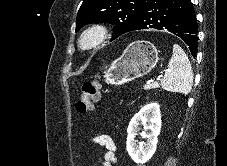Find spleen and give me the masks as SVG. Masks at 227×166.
<instances>
[{
  "instance_id": "3e777b00",
  "label": "spleen",
  "mask_w": 227,
  "mask_h": 166,
  "mask_svg": "<svg viewBox=\"0 0 227 166\" xmlns=\"http://www.w3.org/2000/svg\"><path fill=\"white\" fill-rule=\"evenodd\" d=\"M161 87L166 91L187 95L193 85V72L188 56L183 49L173 45V54L161 79Z\"/></svg>"
}]
</instances>
